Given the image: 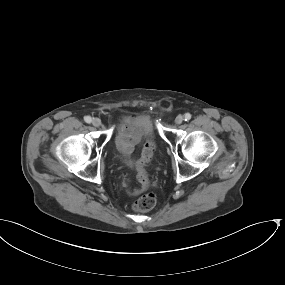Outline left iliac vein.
<instances>
[{
  "label": "left iliac vein",
  "instance_id": "obj_1",
  "mask_svg": "<svg viewBox=\"0 0 285 285\" xmlns=\"http://www.w3.org/2000/svg\"><path fill=\"white\" fill-rule=\"evenodd\" d=\"M183 122V116L182 115H178L176 118H175V124L179 125Z\"/></svg>",
  "mask_w": 285,
  "mask_h": 285
}]
</instances>
